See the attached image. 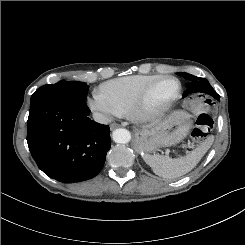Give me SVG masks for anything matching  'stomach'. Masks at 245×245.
Wrapping results in <instances>:
<instances>
[{
    "instance_id": "0dacf381",
    "label": "stomach",
    "mask_w": 245,
    "mask_h": 245,
    "mask_svg": "<svg viewBox=\"0 0 245 245\" xmlns=\"http://www.w3.org/2000/svg\"><path fill=\"white\" fill-rule=\"evenodd\" d=\"M191 127V116L187 112L176 111L150 127L137 130L135 148L139 153H150L175 145L188 135Z\"/></svg>"
}]
</instances>
